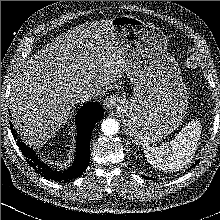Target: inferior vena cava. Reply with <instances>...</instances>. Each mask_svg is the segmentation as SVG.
<instances>
[{
    "mask_svg": "<svg viewBox=\"0 0 220 220\" xmlns=\"http://www.w3.org/2000/svg\"><path fill=\"white\" fill-rule=\"evenodd\" d=\"M100 91L96 89H89L84 91L82 94L79 96V102H87L90 101L91 99L96 98L97 95H99Z\"/></svg>",
    "mask_w": 220,
    "mask_h": 220,
    "instance_id": "602c4592",
    "label": "inferior vena cava"
}]
</instances>
